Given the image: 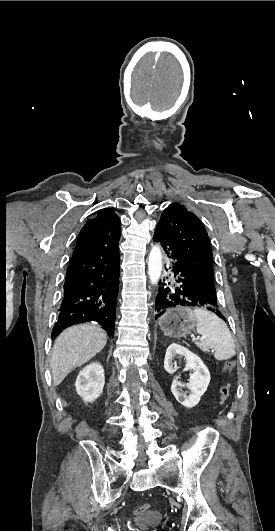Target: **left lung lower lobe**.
I'll list each match as a JSON object with an SVG mask.
<instances>
[{
	"label": "left lung lower lobe",
	"instance_id": "obj_1",
	"mask_svg": "<svg viewBox=\"0 0 275 531\" xmlns=\"http://www.w3.org/2000/svg\"><path fill=\"white\" fill-rule=\"evenodd\" d=\"M153 240L161 243L165 253L172 260L169 270L175 277L174 284L166 283L165 280H163L164 282L159 281L158 294L155 300V318L157 319L168 309L176 306H193L206 308L226 321L218 310L217 304L202 297L190 283L178 251L159 225L156 226Z\"/></svg>",
	"mask_w": 275,
	"mask_h": 531
}]
</instances>
